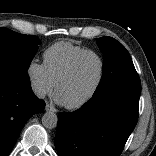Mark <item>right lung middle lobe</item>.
Returning a JSON list of instances; mask_svg holds the SVG:
<instances>
[{"mask_svg":"<svg viewBox=\"0 0 156 156\" xmlns=\"http://www.w3.org/2000/svg\"><path fill=\"white\" fill-rule=\"evenodd\" d=\"M40 44L36 36L0 28V73L30 79L27 70Z\"/></svg>","mask_w":156,"mask_h":156,"instance_id":"dd1d6c3e","label":"right lung middle lobe"}]
</instances>
